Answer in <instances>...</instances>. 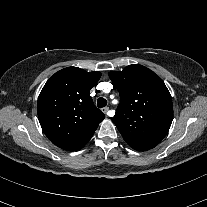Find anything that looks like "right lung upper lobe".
I'll use <instances>...</instances> for the list:
<instances>
[{"label": "right lung upper lobe", "mask_w": 207, "mask_h": 207, "mask_svg": "<svg viewBox=\"0 0 207 207\" xmlns=\"http://www.w3.org/2000/svg\"><path fill=\"white\" fill-rule=\"evenodd\" d=\"M100 76L97 71L68 67L44 85L37 103L38 118L44 133L56 146L80 150L104 119L89 94Z\"/></svg>", "instance_id": "obj_1"}]
</instances>
